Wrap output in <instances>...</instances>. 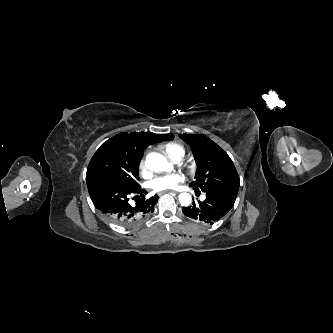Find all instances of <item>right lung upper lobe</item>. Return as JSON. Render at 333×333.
<instances>
[{
  "mask_svg": "<svg viewBox=\"0 0 333 333\" xmlns=\"http://www.w3.org/2000/svg\"><path fill=\"white\" fill-rule=\"evenodd\" d=\"M173 138V134H154L151 132L128 134L123 132L111 139L122 143L132 158L140 162L144 149L149 145L157 141H170Z\"/></svg>",
  "mask_w": 333,
  "mask_h": 333,
  "instance_id": "right-lung-upper-lobe-1",
  "label": "right lung upper lobe"
}]
</instances>
